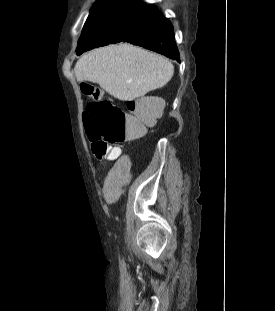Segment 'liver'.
I'll return each instance as SVG.
<instances>
[{
	"mask_svg": "<svg viewBox=\"0 0 275 311\" xmlns=\"http://www.w3.org/2000/svg\"><path fill=\"white\" fill-rule=\"evenodd\" d=\"M74 72L78 81L97 83L113 97L131 101L166 85L174 66L160 55L121 43L83 55Z\"/></svg>",
	"mask_w": 275,
	"mask_h": 311,
	"instance_id": "obj_1",
	"label": "liver"
}]
</instances>
